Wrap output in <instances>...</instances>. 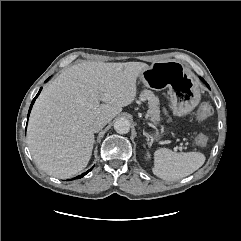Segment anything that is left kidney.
Returning <instances> with one entry per match:
<instances>
[{"instance_id": "5707ae66", "label": "left kidney", "mask_w": 241, "mask_h": 241, "mask_svg": "<svg viewBox=\"0 0 241 241\" xmlns=\"http://www.w3.org/2000/svg\"><path fill=\"white\" fill-rule=\"evenodd\" d=\"M147 159H150V154H149V152H147Z\"/></svg>"}]
</instances>
